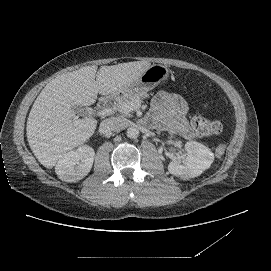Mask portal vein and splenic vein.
<instances>
[{"label": "portal vein and splenic vein", "mask_w": 271, "mask_h": 271, "mask_svg": "<svg viewBox=\"0 0 271 271\" xmlns=\"http://www.w3.org/2000/svg\"><path fill=\"white\" fill-rule=\"evenodd\" d=\"M132 106L135 107V108H139L140 104H138L137 106H135L133 104H131V106L128 105V104H124V105L121 106L120 110L122 112H126L128 109H132ZM111 111L112 110L110 108H105V109L101 110L100 112H98V115H100V116H106V115H109L111 113Z\"/></svg>", "instance_id": "1"}]
</instances>
